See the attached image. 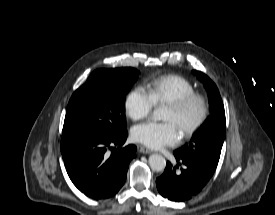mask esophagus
I'll list each match as a JSON object with an SVG mask.
<instances>
[{"label":"esophagus","instance_id":"esophagus-1","mask_svg":"<svg viewBox=\"0 0 275 215\" xmlns=\"http://www.w3.org/2000/svg\"><path fill=\"white\" fill-rule=\"evenodd\" d=\"M138 151L143 154H150L152 151L144 146L139 145Z\"/></svg>","mask_w":275,"mask_h":215}]
</instances>
